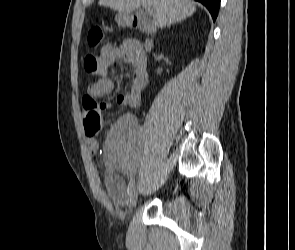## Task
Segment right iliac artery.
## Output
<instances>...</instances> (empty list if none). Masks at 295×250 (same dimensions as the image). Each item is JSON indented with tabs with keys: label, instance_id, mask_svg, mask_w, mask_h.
I'll return each mask as SVG.
<instances>
[{
	"label": "right iliac artery",
	"instance_id": "right-iliac-artery-1",
	"mask_svg": "<svg viewBox=\"0 0 295 250\" xmlns=\"http://www.w3.org/2000/svg\"><path fill=\"white\" fill-rule=\"evenodd\" d=\"M134 184H135V181H131L128 185V189H127V193L130 194L132 192V190L134 189Z\"/></svg>",
	"mask_w": 295,
	"mask_h": 250
}]
</instances>
